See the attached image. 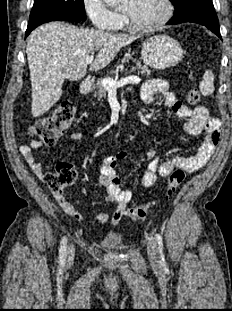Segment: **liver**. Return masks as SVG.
<instances>
[{
  "label": "liver",
  "mask_w": 232,
  "mask_h": 311,
  "mask_svg": "<svg viewBox=\"0 0 232 311\" xmlns=\"http://www.w3.org/2000/svg\"><path fill=\"white\" fill-rule=\"evenodd\" d=\"M137 36L114 34L70 25L47 23L30 35L26 53L32 87V116L48 111L61 97L65 79L81 80L87 72L86 58L100 49L91 71L106 67L120 49Z\"/></svg>",
  "instance_id": "liver-1"
}]
</instances>
